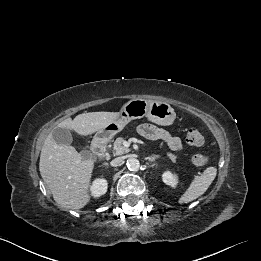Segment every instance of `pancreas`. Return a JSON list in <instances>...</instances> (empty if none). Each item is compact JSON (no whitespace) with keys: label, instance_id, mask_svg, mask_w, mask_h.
Segmentation results:
<instances>
[{"label":"pancreas","instance_id":"pancreas-1","mask_svg":"<svg viewBox=\"0 0 261 261\" xmlns=\"http://www.w3.org/2000/svg\"><path fill=\"white\" fill-rule=\"evenodd\" d=\"M123 141L124 139L122 137L117 138L114 143H113V147L111 149V152L114 156H118V155H122L124 154V152L127 151V148H125L123 146ZM167 156L169 157V159L172 162H176L177 156L172 154V153H168Z\"/></svg>","mask_w":261,"mask_h":261}]
</instances>
